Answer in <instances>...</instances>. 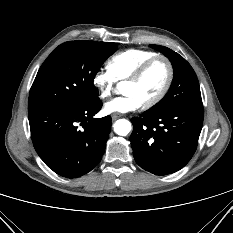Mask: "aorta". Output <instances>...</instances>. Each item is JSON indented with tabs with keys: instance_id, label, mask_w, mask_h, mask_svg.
Instances as JSON below:
<instances>
[{
	"instance_id": "762f6f07",
	"label": "aorta",
	"mask_w": 233,
	"mask_h": 233,
	"mask_svg": "<svg viewBox=\"0 0 233 233\" xmlns=\"http://www.w3.org/2000/svg\"><path fill=\"white\" fill-rule=\"evenodd\" d=\"M131 131V123L126 119H119L114 124V132L126 136Z\"/></svg>"
}]
</instances>
